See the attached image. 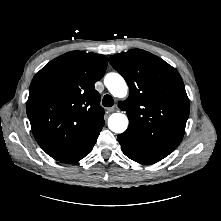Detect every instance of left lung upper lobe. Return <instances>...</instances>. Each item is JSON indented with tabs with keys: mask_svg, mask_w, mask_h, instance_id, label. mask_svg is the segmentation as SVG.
Listing matches in <instances>:
<instances>
[{
	"mask_svg": "<svg viewBox=\"0 0 221 221\" xmlns=\"http://www.w3.org/2000/svg\"><path fill=\"white\" fill-rule=\"evenodd\" d=\"M109 61L130 88L129 97L119 102L129 119L126 131L142 146L169 155L183 138L190 110L179 73L141 49L115 54Z\"/></svg>",
	"mask_w": 221,
	"mask_h": 221,
	"instance_id": "left-lung-upper-lobe-1",
	"label": "left lung upper lobe"
}]
</instances>
